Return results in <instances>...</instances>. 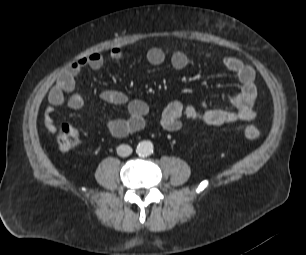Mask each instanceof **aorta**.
Wrapping results in <instances>:
<instances>
[{"instance_id": "aorta-1", "label": "aorta", "mask_w": 306, "mask_h": 255, "mask_svg": "<svg viewBox=\"0 0 306 255\" xmlns=\"http://www.w3.org/2000/svg\"><path fill=\"white\" fill-rule=\"evenodd\" d=\"M153 144L151 141L148 140H144L139 142V144L136 147V153L139 156L145 157V156H149L153 153Z\"/></svg>"}]
</instances>
